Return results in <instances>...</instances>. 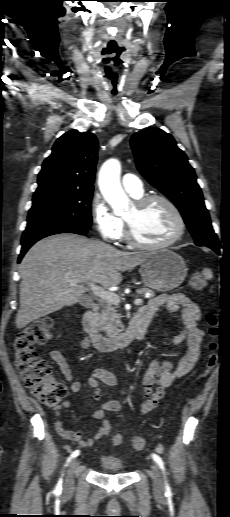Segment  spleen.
I'll return each instance as SVG.
<instances>
[{
  "mask_svg": "<svg viewBox=\"0 0 230 517\" xmlns=\"http://www.w3.org/2000/svg\"><path fill=\"white\" fill-rule=\"evenodd\" d=\"M202 273H203V275H204V277H205L206 279H212V277H213V273H212V271H211L209 268H205V269L202 271Z\"/></svg>",
  "mask_w": 230,
  "mask_h": 517,
  "instance_id": "spleen-1",
  "label": "spleen"
}]
</instances>
